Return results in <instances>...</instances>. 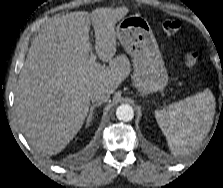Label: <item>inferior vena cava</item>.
<instances>
[{
	"label": "inferior vena cava",
	"mask_w": 223,
	"mask_h": 188,
	"mask_svg": "<svg viewBox=\"0 0 223 188\" xmlns=\"http://www.w3.org/2000/svg\"><path fill=\"white\" fill-rule=\"evenodd\" d=\"M110 97V91L104 87L95 88L90 93V99L92 102H96L98 104L102 102H106Z\"/></svg>",
	"instance_id": "inferior-vena-cava-1"
}]
</instances>
